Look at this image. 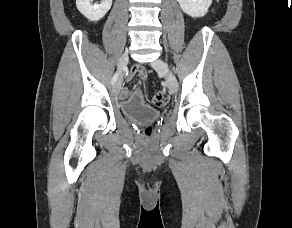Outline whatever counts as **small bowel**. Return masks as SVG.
<instances>
[{
	"instance_id": "obj_1",
	"label": "small bowel",
	"mask_w": 292,
	"mask_h": 228,
	"mask_svg": "<svg viewBox=\"0 0 292 228\" xmlns=\"http://www.w3.org/2000/svg\"><path fill=\"white\" fill-rule=\"evenodd\" d=\"M147 76V71L142 65H135L130 70L127 80L132 79L133 77H137L138 79H145ZM120 96L122 99H128L130 102L134 103H142L143 102V94L142 92L137 89L134 92H131V90L127 87L123 88L121 90Z\"/></svg>"
}]
</instances>
